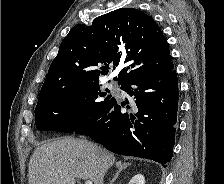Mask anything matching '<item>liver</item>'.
<instances>
[{
  "label": "liver",
  "instance_id": "1",
  "mask_svg": "<svg viewBox=\"0 0 224 184\" xmlns=\"http://www.w3.org/2000/svg\"><path fill=\"white\" fill-rule=\"evenodd\" d=\"M115 163L112 153L86 140L57 138L38 146L28 167V184H75L76 178L103 184Z\"/></svg>",
  "mask_w": 224,
  "mask_h": 184
}]
</instances>
